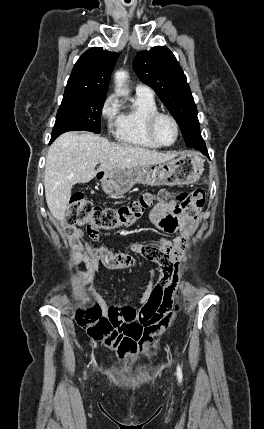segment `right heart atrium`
<instances>
[{
  "label": "right heart atrium",
  "instance_id": "obj_1",
  "mask_svg": "<svg viewBox=\"0 0 264 429\" xmlns=\"http://www.w3.org/2000/svg\"><path fill=\"white\" fill-rule=\"evenodd\" d=\"M100 115L105 120L109 130L115 128L119 115V107L114 95H109L105 98L100 108Z\"/></svg>",
  "mask_w": 264,
  "mask_h": 429
}]
</instances>
